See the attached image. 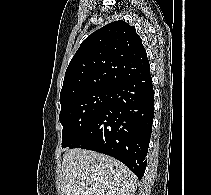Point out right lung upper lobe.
I'll use <instances>...</instances> for the list:
<instances>
[{"label": "right lung upper lobe", "mask_w": 211, "mask_h": 195, "mask_svg": "<svg viewBox=\"0 0 211 195\" xmlns=\"http://www.w3.org/2000/svg\"><path fill=\"white\" fill-rule=\"evenodd\" d=\"M150 71L136 29L118 20L89 35L65 73L60 102L82 91L107 88Z\"/></svg>", "instance_id": "1"}]
</instances>
